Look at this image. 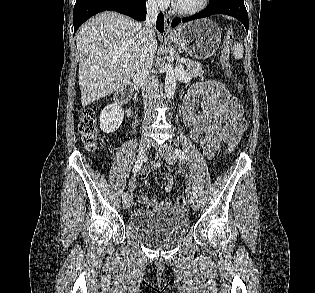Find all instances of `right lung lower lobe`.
Returning <instances> with one entry per match:
<instances>
[{"label": "right lung lower lobe", "mask_w": 315, "mask_h": 293, "mask_svg": "<svg viewBox=\"0 0 315 293\" xmlns=\"http://www.w3.org/2000/svg\"><path fill=\"white\" fill-rule=\"evenodd\" d=\"M106 10L128 15L138 21L146 19V0H76L73 11L74 32L91 16ZM156 28L164 31V17L160 13Z\"/></svg>", "instance_id": "1"}]
</instances>
